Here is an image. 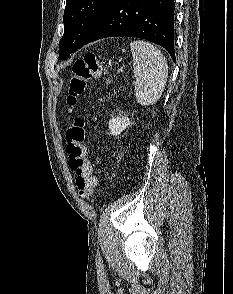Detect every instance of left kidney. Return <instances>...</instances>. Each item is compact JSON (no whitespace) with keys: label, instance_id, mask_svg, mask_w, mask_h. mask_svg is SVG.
I'll use <instances>...</instances> for the list:
<instances>
[{"label":"left kidney","instance_id":"1","mask_svg":"<svg viewBox=\"0 0 233 294\" xmlns=\"http://www.w3.org/2000/svg\"><path fill=\"white\" fill-rule=\"evenodd\" d=\"M129 125L130 121L127 116L112 117L109 120V130L114 136L120 135Z\"/></svg>","mask_w":233,"mask_h":294}]
</instances>
